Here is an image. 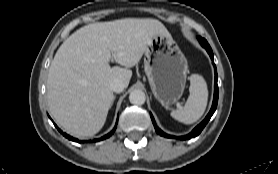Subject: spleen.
I'll list each match as a JSON object with an SVG mask.
<instances>
[{"instance_id": "1", "label": "spleen", "mask_w": 278, "mask_h": 174, "mask_svg": "<svg viewBox=\"0 0 278 174\" xmlns=\"http://www.w3.org/2000/svg\"><path fill=\"white\" fill-rule=\"evenodd\" d=\"M190 95L184 105L171 112V116L184 124L196 122L204 113L208 101V89L204 78L198 74L190 76Z\"/></svg>"}]
</instances>
